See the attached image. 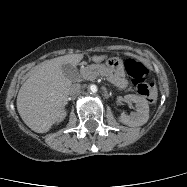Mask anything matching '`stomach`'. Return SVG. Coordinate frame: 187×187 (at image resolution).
<instances>
[{"label":"stomach","mask_w":187,"mask_h":187,"mask_svg":"<svg viewBox=\"0 0 187 187\" xmlns=\"http://www.w3.org/2000/svg\"><path fill=\"white\" fill-rule=\"evenodd\" d=\"M106 67L114 78L115 83L119 82L125 76L123 61L118 57L109 58L106 61Z\"/></svg>","instance_id":"1"}]
</instances>
